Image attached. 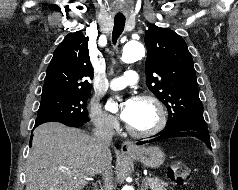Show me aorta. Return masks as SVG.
I'll return each instance as SVG.
<instances>
[{
  "label": "aorta",
  "instance_id": "1",
  "mask_svg": "<svg viewBox=\"0 0 238 190\" xmlns=\"http://www.w3.org/2000/svg\"><path fill=\"white\" fill-rule=\"evenodd\" d=\"M145 55V49L144 46L141 42L131 40L127 42L123 48V53H122V60L125 63H133ZM105 109L111 112L116 111V105L112 103L111 101H108ZM122 190H134L132 186H124Z\"/></svg>",
  "mask_w": 238,
  "mask_h": 190
}]
</instances>
